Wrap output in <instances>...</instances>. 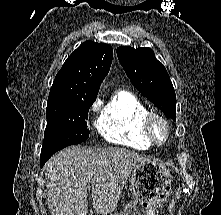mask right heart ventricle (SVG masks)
<instances>
[{
  "mask_svg": "<svg viewBox=\"0 0 221 215\" xmlns=\"http://www.w3.org/2000/svg\"><path fill=\"white\" fill-rule=\"evenodd\" d=\"M148 113L137 96L120 90L99 116L97 129L109 143L146 151L153 146L144 131Z\"/></svg>",
  "mask_w": 221,
  "mask_h": 215,
  "instance_id": "obj_1",
  "label": "right heart ventricle"
}]
</instances>
